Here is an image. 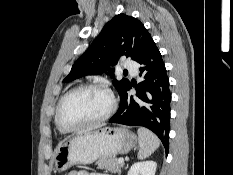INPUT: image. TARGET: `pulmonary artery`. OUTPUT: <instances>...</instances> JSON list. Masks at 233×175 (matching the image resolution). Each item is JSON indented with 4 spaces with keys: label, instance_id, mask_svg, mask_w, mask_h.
<instances>
[{
    "label": "pulmonary artery",
    "instance_id": "pulmonary-artery-1",
    "mask_svg": "<svg viewBox=\"0 0 233 175\" xmlns=\"http://www.w3.org/2000/svg\"><path fill=\"white\" fill-rule=\"evenodd\" d=\"M123 67L126 68L127 70H129L130 72H132L133 74H136L137 72V67H136V63L130 60H126L123 62Z\"/></svg>",
    "mask_w": 233,
    "mask_h": 175
}]
</instances>
